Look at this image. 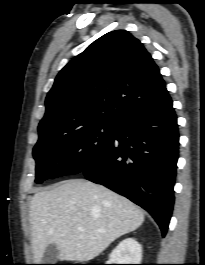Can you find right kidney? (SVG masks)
I'll use <instances>...</instances> for the list:
<instances>
[{
  "mask_svg": "<svg viewBox=\"0 0 205 265\" xmlns=\"http://www.w3.org/2000/svg\"><path fill=\"white\" fill-rule=\"evenodd\" d=\"M141 258V244L134 238H126L111 252L107 264H140Z\"/></svg>",
  "mask_w": 205,
  "mask_h": 265,
  "instance_id": "right-kidney-1",
  "label": "right kidney"
}]
</instances>
